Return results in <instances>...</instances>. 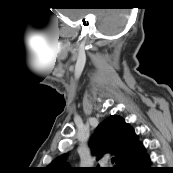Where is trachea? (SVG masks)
Masks as SVG:
<instances>
[{"label":"trachea","mask_w":173,"mask_h":173,"mask_svg":"<svg viewBox=\"0 0 173 173\" xmlns=\"http://www.w3.org/2000/svg\"><path fill=\"white\" fill-rule=\"evenodd\" d=\"M114 162V158H112V163Z\"/></svg>","instance_id":"obj_1"}]
</instances>
